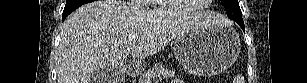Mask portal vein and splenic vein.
Segmentation results:
<instances>
[{
    "mask_svg": "<svg viewBox=\"0 0 307 83\" xmlns=\"http://www.w3.org/2000/svg\"><path fill=\"white\" fill-rule=\"evenodd\" d=\"M150 82H151V81H149V80L147 81V83H150Z\"/></svg>",
    "mask_w": 307,
    "mask_h": 83,
    "instance_id": "portal-vein-and-splenic-vein-1",
    "label": "portal vein and splenic vein"
}]
</instances>
